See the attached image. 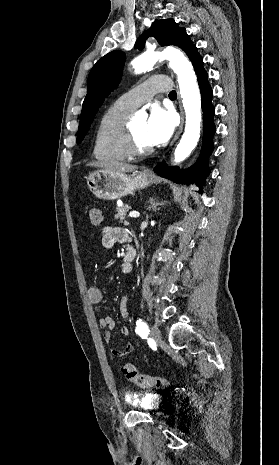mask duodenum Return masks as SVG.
Masks as SVG:
<instances>
[{
    "instance_id": "obj_1",
    "label": "duodenum",
    "mask_w": 279,
    "mask_h": 465,
    "mask_svg": "<svg viewBox=\"0 0 279 465\" xmlns=\"http://www.w3.org/2000/svg\"><path fill=\"white\" fill-rule=\"evenodd\" d=\"M135 254V248L132 245H128L125 251L124 262L131 263L135 258Z\"/></svg>"
}]
</instances>
